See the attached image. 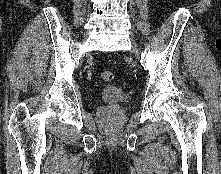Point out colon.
<instances>
[{
	"mask_svg": "<svg viewBox=\"0 0 221 174\" xmlns=\"http://www.w3.org/2000/svg\"><path fill=\"white\" fill-rule=\"evenodd\" d=\"M101 78L105 81V82H112L114 80V74L112 71L110 70H104L101 73Z\"/></svg>",
	"mask_w": 221,
	"mask_h": 174,
	"instance_id": "colon-1",
	"label": "colon"
}]
</instances>
